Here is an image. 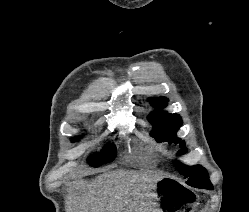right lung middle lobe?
I'll return each instance as SVG.
<instances>
[{"mask_svg":"<svg viewBox=\"0 0 249 212\" xmlns=\"http://www.w3.org/2000/svg\"><path fill=\"white\" fill-rule=\"evenodd\" d=\"M116 156V148L112 144L106 145L100 153H96L89 160L88 163L93 167H98L102 164L111 162Z\"/></svg>","mask_w":249,"mask_h":212,"instance_id":"obj_1","label":"right lung middle lobe"}]
</instances>
